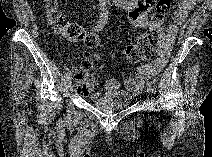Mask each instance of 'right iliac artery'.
Wrapping results in <instances>:
<instances>
[{"label": "right iliac artery", "instance_id": "obj_1", "mask_svg": "<svg viewBox=\"0 0 212 157\" xmlns=\"http://www.w3.org/2000/svg\"><path fill=\"white\" fill-rule=\"evenodd\" d=\"M106 21H107V16L106 15L100 16V18H99V20L97 22V25L94 28V31L98 32V31L102 30L103 27L106 24ZM71 74H72L71 71H67L66 72V78H70L71 77Z\"/></svg>", "mask_w": 212, "mask_h": 157}]
</instances>
